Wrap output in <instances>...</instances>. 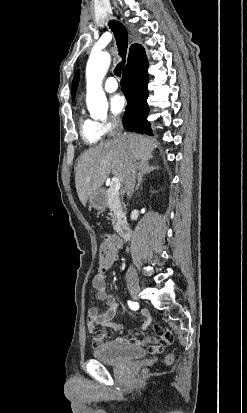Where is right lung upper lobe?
Returning <instances> with one entry per match:
<instances>
[{
    "instance_id": "1",
    "label": "right lung upper lobe",
    "mask_w": 247,
    "mask_h": 413,
    "mask_svg": "<svg viewBox=\"0 0 247 413\" xmlns=\"http://www.w3.org/2000/svg\"><path fill=\"white\" fill-rule=\"evenodd\" d=\"M147 67L148 62L144 48L139 44L132 45L129 51L127 65L125 66L122 75H135L143 72Z\"/></svg>"
}]
</instances>
